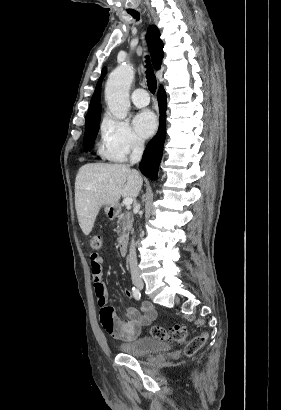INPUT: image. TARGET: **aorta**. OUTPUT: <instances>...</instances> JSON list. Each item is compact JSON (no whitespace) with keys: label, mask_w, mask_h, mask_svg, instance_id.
Wrapping results in <instances>:
<instances>
[{"label":"aorta","mask_w":281,"mask_h":410,"mask_svg":"<svg viewBox=\"0 0 281 410\" xmlns=\"http://www.w3.org/2000/svg\"><path fill=\"white\" fill-rule=\"evenodd\" d=\"M134 78V70L128 64H122L113 70L105 87V100L112 115L125 119L130 108L129 89Z\"/></svg>","instance_id":"1"}]
</instances>
